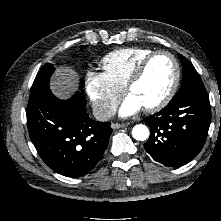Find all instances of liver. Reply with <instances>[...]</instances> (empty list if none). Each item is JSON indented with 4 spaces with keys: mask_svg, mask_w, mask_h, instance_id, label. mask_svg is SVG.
Wrapping results in <instances>:
<instances>
[{
    "mask_svg": "<svg viewBox=\"0 0 221 221\" xmlns=\"http://www.w3.org/2000/svg\"><path fill=\"white\" fill-rule=\"evenodd\" d=\"M78 74L70 67H58L51 79L50 89L61 99L69 98L77 89Z\"/></svg>",
    "mask_w": 221,
    "mask_h": 221,
    "instance_id": "obj_1",
    "label": "liver"
}]
</instances>
